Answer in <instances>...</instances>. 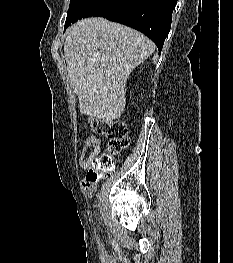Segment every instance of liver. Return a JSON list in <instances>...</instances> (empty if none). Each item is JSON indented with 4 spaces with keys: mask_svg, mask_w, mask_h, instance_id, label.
<instances>
[{
    "mask_svg": "<svg viewBox=\"0 0 233 263\" xmlns=\"http://www.w3.org/2000/svg\"><path fill=\"white\" fill-rule=\"evenodd\" d=\"M154 49V43L142 33L104 18H87L72 25L64 54L81 113L103 121L120 118L126 105L127 79Z\"/></svg>",
    "mask_w": 233,
    "mask_h": 263,
    "instance_id": "obj_1",
    "label": "liver"
}]
</instances>
